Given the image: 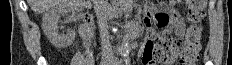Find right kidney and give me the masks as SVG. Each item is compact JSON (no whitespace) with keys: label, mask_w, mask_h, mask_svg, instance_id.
Here are the masks:
<instances>
[{"label":"right kidney","mask_w":232,"mask_h":65,"mask_svg":"<svg viewBox=\"0 0 232 65\" xmlns=\"http://www.w3.org/2000/svg\"><path fill=\"white\" fill-rule=\"evenodd\" d=\"M75 10L73 0H61L51 7L42 18V28L49 41L57 48L70 46L75 39V31L69 29L66 34L58 32V20L61 15H67Z\"/></svg>","instance_id":"obj_1"}]
</instances>
